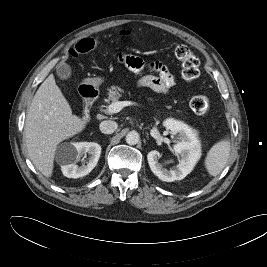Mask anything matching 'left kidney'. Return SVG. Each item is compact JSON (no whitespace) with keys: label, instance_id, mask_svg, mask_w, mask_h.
Instances as JSON below:
<instances>
[{"label":"left kidney","instance_id":"5707ae66","mask_svg":"<svg viewBox=\"0 0 267 267\" xmlns=\"http://www.w3.org/2000/svg\"><path fill=\"white\" fill-rule=\"evenodd\" d=\"M164 126L170 129L171 137L174 139L173 150L181 156V160L174 169L167 170L158 162L160 153L152 150L147 155L148 164L151 171L162 181L173 182L182 180L194 168L198 159V149L195 147V138L191 129L181 121L168 118L164 121Z\"/></svg>","mask_w":267,"mask_h":267}]
</instances>
